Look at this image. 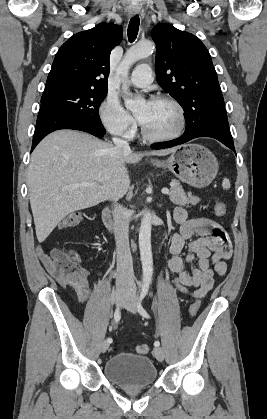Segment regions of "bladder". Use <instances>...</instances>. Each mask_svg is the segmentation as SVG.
<instances>
[{
    "mask_svg": "<svg viewBox=\"0 0 267 419\" xmlns=\"http://www.w3.org/2000/svg\"><path fill=\"white\" fill-rule=\"evenodd\" d=\"M105 377L112 383L124 388L147 387L157 380V369L153 361L133 353H117L105 363Z\"/></svg>",
    "mask_w": 267,
    "mask_h": 419,
    "instance_id": "1",
    "label": "bladder"
}]
</instances>
